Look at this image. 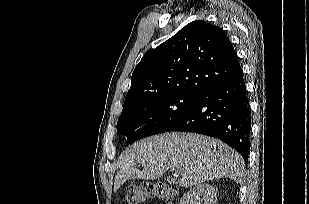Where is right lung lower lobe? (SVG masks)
I'll return each instance as SVG.
<instances>
[{
  "label": "right lung lower lobe",
  "instance_id": "obj_1",
  "mask_svg": "<svg viewBox=\"0 0 309 204\" xmlns=\"http://www.w3.org/2000/svg\"><path fill=\"white\" fill-rule=\"evenodd\" d=\"M251 111L243 71L214 84L166 131L195 132L218 138L247 162L250 150Z\"/></svg>",
  "mask_w": 309,
  "mask_h": 204
}]
</instances>
